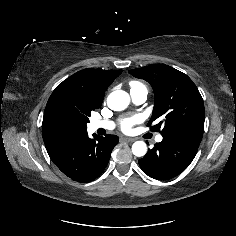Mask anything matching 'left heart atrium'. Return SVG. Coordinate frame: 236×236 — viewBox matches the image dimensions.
Instances as JSON below:
<instances>
[{"label": "left heart atrium", "instance_id": "1", "mask_svg": "<svg viewBox=\"0 0 236 236\" xmlns=\"http://www.w3.org/2000/svg\"><path fill=\"white\" fill-rule=\"evenodd\" d=\"M139 117H130V118H123L120 120V127L121 130L124 132H128L131 130L132 126L139 122Z\"/></svg>", "mask_w": 236, "mask_h": 236}]
</instances>
